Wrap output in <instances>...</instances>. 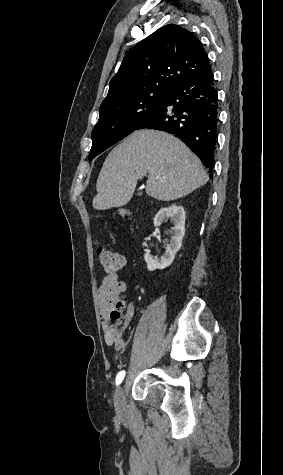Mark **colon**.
Segmentation results:
<instances>
[{
    "mask_svg": "<svg viewBox=\"0 0 283 475\" xmlns=\"http://www.w3.org/2000/svg\"><path fill=\"white\" fill-rule=\"evenodd\" d=\"M124 213H127V211H124ZM99 260L107 273L111 275L120 274L124 266V256L120 252L112 251L104 247L99 250ZM122 309H124V305H122Z\"/></svg>",
    "mask_w": 283,
    "mask_h": 475,
    "instance_id": "1",
    "label": "colon"
}]
</instances>
